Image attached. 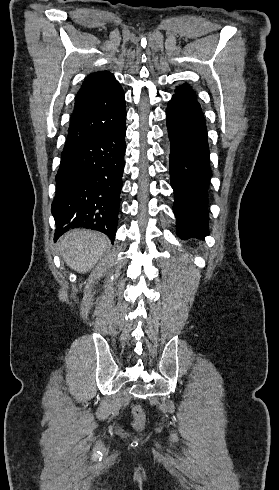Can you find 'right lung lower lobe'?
I'll use <instances>...</instances> for the list:
<instances>
[{
    "label": "right lung lower lobe",
    "instance_id": "right-lung-lower-lobe-1",
    "mask_svg": "<svg viewBox=\"0 0 279 490\" xmlns=\"http://www.w3.org/2000/svg\"><path fill=\"white\" fill-rule=\"evenodd\" d=\"M126 120L116 128L64 147L51 212L54 240L74 228L97 230L112 244L118 223L124 168Z\"/></svg>",
    "mask_w": 279,
    "mask_h": 490
}]
</instances>
